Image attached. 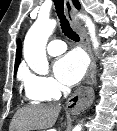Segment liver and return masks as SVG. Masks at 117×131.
<instances>
[{"label":"liver","mask_w":117,"mask_h":131,"mask_svg":"<svg viewBox=\"0 0 117 131\" xmlns=\"http://www.w3.org/2000/svg\"><path fill=\"white\" fill-rule=\"evenodd\" d=\"M59 105H36L16 112L10 124V131H33L52 127L59 115Z\"/></svg>","instance_id":"6515ba94"}]
</instances>
